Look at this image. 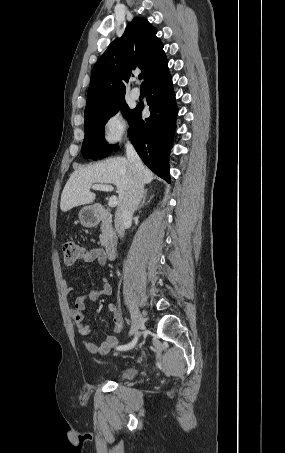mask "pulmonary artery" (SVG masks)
I'll list each match as a JSON object with an SVG mask.
<instances>
[{
    "mask_svg": "<svg viewBox=\"0 0 285 453\" xmlns=\"http://www.w3.org/2000/svg\"><path fill=\"white\" fill-rule=\"evenodd\" d=\"M141 93H140V89L135 87L131 90V96L134 98V99H138L140 97Z\"/></svg>",
    "mask_w": 285,
    "mask_h": 453,
    "instance_id": "e3ab8cb5",
    "label": "pulmonary artery"
}]
</instances>
